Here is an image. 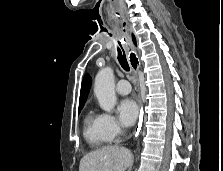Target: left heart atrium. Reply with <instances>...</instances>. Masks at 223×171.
<instances>
[{
  "mask_svg": "<svg viewBox=\"0 0 223 171\" xmlns=\"http://www.w3.org/2000/svg\"><path fill=\"white\" fill-rule=\"evenodd\" d=\"M118 114L120 121L125 126H131L136 121L139 108L137 103L132 99H123L118 105Z\"/></svg>",
  "mask_w": 223,
  "mask_h": 171,
  "instance_id": "left-heart-atrium-1",
  "label": "left heart atrium"
}]
</instances>
